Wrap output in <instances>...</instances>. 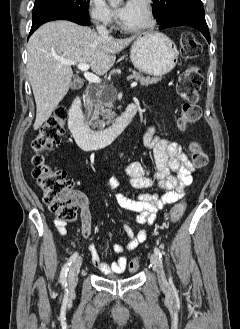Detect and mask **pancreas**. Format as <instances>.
<instances>
[{"label": "pancreas", "mask_w": 240, "mask_h": 329, "mask_svg": "<svg viewBox=\"0 0 240 329\" xmlns=\"http://www.w3.org/2000/svg\"><path fill=\"white\" fill-rule=\"evenodd\" d=\"M129 78L140 81L142 86L155 84L161 80V78L144 76L141 73H133ZM85 101L87 117L92 128L103 129L114 118V112L110 110L114 98L107 99L104 88L98 89L96 95H87ZM99 115L103 117L102 120L99 119Z\"/></svg>", "instance_id": "obj_1"}]
</instances>
